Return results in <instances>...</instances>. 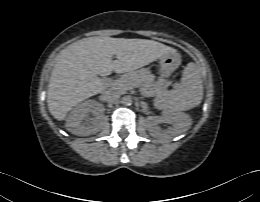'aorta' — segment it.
I'll use <instances>...</instances> for the list:
<instances>
[{"label":"aorta","instance_id":"obj_1","mask_svg":"<svg viewBox=\"0 0 260 202\" xmlns=\"http://www.w3.org/2000/svg\"><path fill=\"white\" fill-rule=\"evenodd\" d=\"M122 104L125 106H129L132 104V98L129 95H126L121 100Z\"/></svg>","mask_w":260,"mask_h":202}]
</instances>
